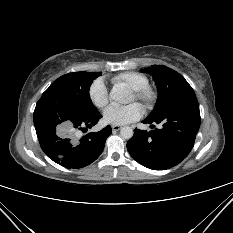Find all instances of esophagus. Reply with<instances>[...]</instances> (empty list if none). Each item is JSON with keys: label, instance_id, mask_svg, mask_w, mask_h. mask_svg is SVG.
<instances>
[{"label": "esophagus", "instance_id": "34e87169", "mask_svg": "<svg viewBox=\"0 0 233 233\" xmlns=\"http://www.w3.org/2000/svg\"><path fill=\"white\" fill-rule=\"evenodd\" d=\"M120 129H121V126H119V125H113V126H112V130H113L114 132L119 131Z\"/></svg>", "mask_w": 233, "mask_h": 233}]
</instances>
